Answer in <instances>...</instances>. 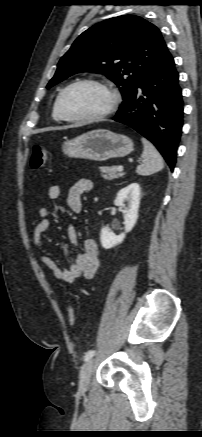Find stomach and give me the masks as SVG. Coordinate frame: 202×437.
I'll use <instances>...</instances> for the list:
<instances>
[{
	"label": "stomach",
	"instance_id": "1",
	"mask_svg": "<svg viewBox=\"0 0 202 437\" xmlns=\"http://www.w3.org/2000/svg\"><path fill=\"white\" fill-rule=\"evenodd\" d=\"M133 146V141L125 135L97 129L64 142L62 151L71 158L106 161L129 155Z\"/></svg>",
	"mask_w": 202,
	"mask_h": 437
}]
</instances>
